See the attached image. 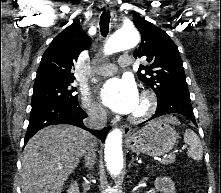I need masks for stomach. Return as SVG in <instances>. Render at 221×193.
I'll return each instance as SVG.
<instances>
[{
	"instance_id": "1",
	"label": "stomach",
	"mask_w": 221,
	"mask_h": 193,
	"mask_svg": "<svg viewBox=\"0 0 221 193\" xmlns=\"http://www.w3.org/2000/svg\"><path fill=\"white\" fill-rule=\"evenodd\" d=\"M176 140L175 129L164 119H156L129 135L126 146L132 152L161 156L173 148Z\"/></svg>"
}]
</instances>
